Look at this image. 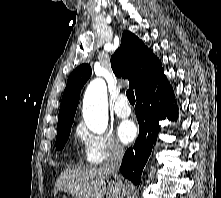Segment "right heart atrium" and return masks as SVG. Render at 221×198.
Returning a JSON list of instances; mask_svg holds the SVG:
<instances>
[{
	"label": "right heart atrium",
	"instance_id": "right-heart-atrium-1",
	"mask_svg": "<svg viewBox=\"0 0 221 198\" xmlns=\"http://www.w3.org/2000/svg\"><path fill=\"white\" fill-rule=\"evenodd\" d=\"M78 136L82 143L84 159L89 165L96 166L106 161L119 160L124 155V147L110 133L96 134L79 127Z\"/></svg>",
	"mask_w": 221,
	"mask_h": 198
}]
</instances>
